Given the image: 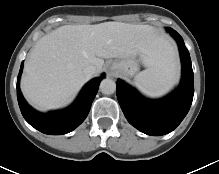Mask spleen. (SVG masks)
<instances>
[{"instance_id":"3e777b00","label":"spleen","mask_w":219,"mask_h":174,"mask_svg":"<svg viewBox=\"0 0 219 174\" xmlns=\"http://www.w3.org/2000/svg\"><path fill=\"white\" fill-rule=\"evenodd\" d=\"M178 78V68L166 52L161 61L137 74L134 83L144 95L158 98L169 92Z\"/></svg>"}]
</instances>
